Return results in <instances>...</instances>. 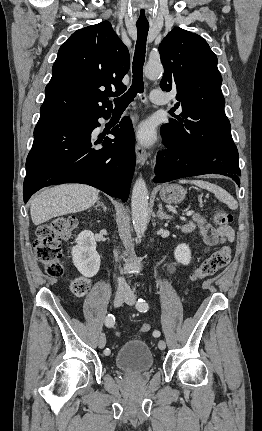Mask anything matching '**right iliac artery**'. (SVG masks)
<instances>
[{
	"label": "right iliac artery",
	"instance_id": "82829eb1",
	"mask_svg": "<svg viewBox=\"0 0 262 431\" xmlns=\"http://www.w3.org/2000/svg\"><path fill=\"white\" fill-rule=\"evenodd\" d=\"M114 324H115V317H114V315L113 314H108L107 315V317L105 318V325L107 326V327H113L114 326ZM104 353L106 354V355H108L109 353H110V349H106L105 351H104Z\"/></svg>",
	"mask_w": 262,
	"mask_h": 431
}]
</instances>
